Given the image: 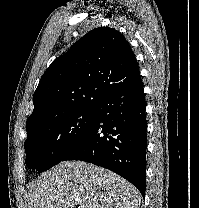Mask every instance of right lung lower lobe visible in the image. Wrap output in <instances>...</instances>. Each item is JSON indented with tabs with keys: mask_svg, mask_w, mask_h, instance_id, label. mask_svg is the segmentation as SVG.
Listing matches in <instances>:
<instances>
[{
	"mask_svg": "<svg viewBox=\"0 0 199 208\" xmlns=\"http://www.w3.org/2000/svg\"><path fill=\"white\" fill-rule=\"evenodd\" d=\"M141 76L95 106L86 134L63 158L112 170L133 183L145 197L147 121Z\"/></svg>",
	"mask_w": 199,
	"mask_h": 208,
	"instance_id": "98d812e1",
	"label": "right lung lower lobe"
}]
</instances>
